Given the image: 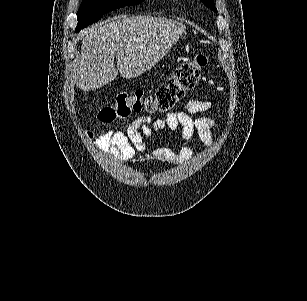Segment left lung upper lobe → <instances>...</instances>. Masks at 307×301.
Returning <instances> with one entry per match:
<instances>
[{
  "label": "left lung upper lobe",
  "instance_id": "5c2ea615",
  "mask_svg": "<svg viewBox=\"0 0 307 301\" xmlns=\"http://www.w3.org/2000/svg\"><path fill=\"white\" fill-rule=\"evenodd\" d=\"M208 8H210L211 10L217 12V9L214 5L213 0H201Z\"/></svg>",
  "mask_w": 307,
  "mask_h": 301
}]
</instances>
